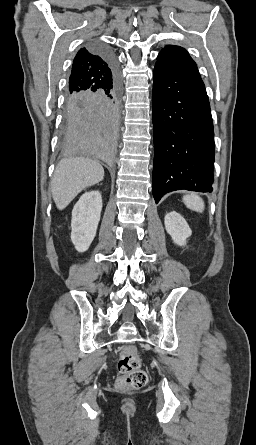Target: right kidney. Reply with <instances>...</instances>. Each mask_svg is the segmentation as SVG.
<instances>
[{"instance_id": "ca27d5eb", "label": "right kidney", "mask_w": 256, "mask_h": 445, "mask_svg": "<svg viewBox=\"0 0 256 445\" xmlns=\"http://www.w3.org/2000/svg\"><path fill=\"white\" fill-rule=\"evenodd\" d=\"M102 197L98 190L84 193L72 210L71 240L78 252L92 243L100 221Z\"/></svg>"}]
</instances>
